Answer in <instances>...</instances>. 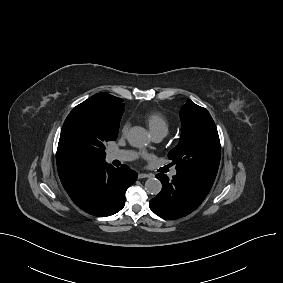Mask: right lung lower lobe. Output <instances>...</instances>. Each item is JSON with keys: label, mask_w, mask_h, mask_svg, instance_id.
Segmentation results:
<instances>
[{"label": "right lung lower lobe", "mask_w": 283, "mask_h": 283, "mask_svg": "<svg viewBox=\"0 0 283 283\" xmlns=\"http://www.w3.org/2000/svg\"><path fill=\"white\" fill-rule=\"evenodd\" d=\"M136 179L137 173L129 167L116 169L103 162L76 170L61 182L80 209L105 217L124 207L125 191Z\"/></svg>", "instance_id": "right-lung-lower-lobe-1"}]
</instances>
